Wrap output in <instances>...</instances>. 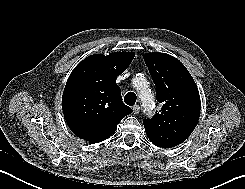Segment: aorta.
<instances>
[{"instance_id":"762f6f07","label":"aorta","mask_w":245,"mask_h":189,"mask_svg":"<svg viewBox=\"0 0 245 189\" xmlns=\"http://www.w3.org/2000/svg\"><path fill=\"white\" fill-rule=\"evenodd\" d=\"M145 82H146V79L142 75H139L135 78V84L137 85V87L143 86ZM139 98L142 102L144 111L148 115H152L153 110H154V98H153L151 91L147 89H140Z\"/></svg>"}]
</instances>
